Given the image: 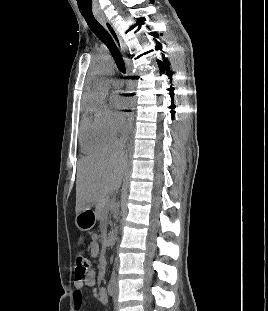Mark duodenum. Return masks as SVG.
I'll return each mask as SVG.
<instances>
[{
  "label": "duodenum",
  "mask_w": 268,
  "mask_h": 311,
  "mask_svg": "<svg viewBox=\"0 0 268 311\" xmlns=\"http://www.w3.org/2000/svg\"><path fill=\"white\" fill-rule=\"evenodd\" d=\"M115 238L112 234H108L105 238V245L110 248L113 246Z\"/></svg>",
  "instance_id": "obj_1"
}]
</instances>
